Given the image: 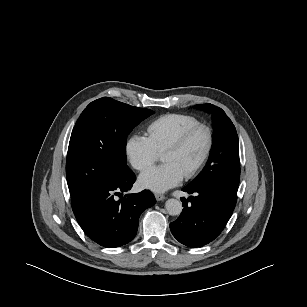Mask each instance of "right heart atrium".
Wrapping results in <instances>:
<instances>
[{
	"mask_svg": "<svg viewBox=\"0 0 307 307\" xmlns=\"http://www.w3.org/2000/svg\"><path fill=\"white\" fill-rule=\"evenodd\" d=\"M126 153L133 168L144 171L153 165L159 154L147 137L132 135L126 143Z\"/></svg>",
	"mask_w": 307,
	"mask_h": 307,
	"instance_id": "1",
	"label": "right heart atrium"
}]
</instances>
